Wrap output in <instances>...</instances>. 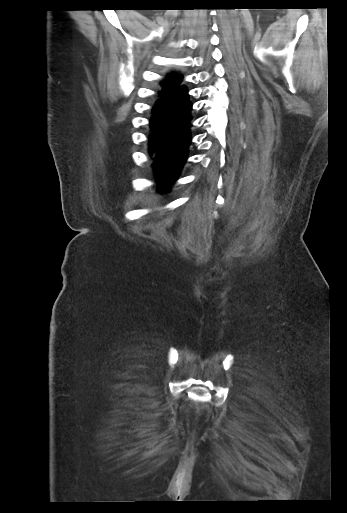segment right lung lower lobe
<instances>
[{
	"label": "right lung lower lobe",
	"mask_w": 347,
	"mask_h": 513,
	"mask_svg": "<svg viewBox=\"0 0 347 513\" xmlns=\"http://www.w3.org/2000/svg\"><path fill=\"white\" fill-rule=\"evenodd\" d=\"M191 108L188 90L184 86L160 94L153 107L149 149L161 186H169L186 161L191 141Z\"/></svg>",
	"instance_id": "98d812e1"
}]
</instances>
